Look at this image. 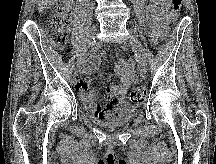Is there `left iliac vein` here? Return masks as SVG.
<instances>
[{"instance_id":"4c4485c4","label":"left iliac vein","mask_w":216,"mask_h":164,"mask_svg":"<svg viewBox=\"0 0 216 164\" xmlns=\"http://www.w3.org/2000/svg\"><path fill=\"white\" fill-rule=\"evenodd\" d=\"M129 42L132 46V48L136 49L137 53L140 54L139 60L141 61V64L139 65V70L141 75H144L146 73V63H145V52H144V48L141 44V42L139 41V39L137 38L136 35H134L132 32L129 36Z\"/></svg>"}]
</instances>
